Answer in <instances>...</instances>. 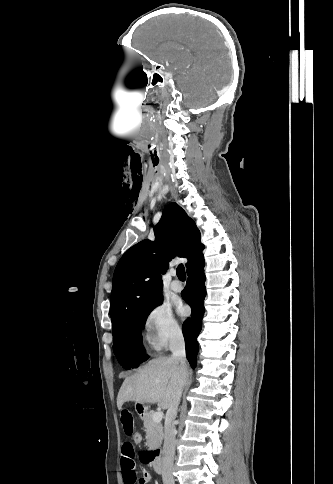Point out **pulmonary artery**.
I'll use <instances>...</instances> for the list:
<instances>
[{
	"label": "pulmonary artery",
	"mask_w": 333,
	"mask_h": 484,
	"mask_svg": "<svg viewBox=\"0 0 333 484\" xmlns=\"http://www.w3.org/2000/svg\"><path fill=\"white\" fill-rule=\"evenodd\" d=\"M171 289L174 292H181L183 290V284L181 283V281L175 279L171 283Z\"/></svg>",
	"instance_id": "pulmonary-artery-1"
}]
</instances>
